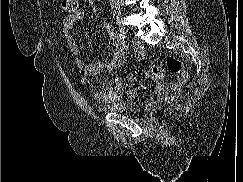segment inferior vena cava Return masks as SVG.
Wrapping results in <instances>:
<instances>
[{
  "label": "inferior vena cava",
  "mask_w": 243,
  "mask_h": 182,
  "mask_svg": "<svg viewBox=\"0 0 243 182\" xmlns=\"http://www.w3.org/2000/svg\"><path fill=\"white\" fill-rule=\"evenodd\" d=\"M113 14H120V0H109Z\"/></svg>",
  "instance_id": "1"
}]
</instances>
